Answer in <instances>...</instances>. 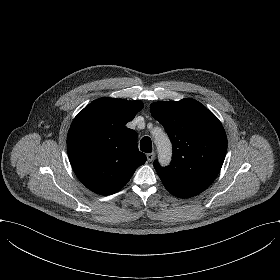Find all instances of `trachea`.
Segmentation results:
<instances>
[{
  "label": "trachea",
  "mask_w": 280,
  "mask_h": 280,
  "mask_svg": "<svg viewBox=\"0 0 280 280\" xmlns=\"http://www.w3.org/2000/svg\"><path fill=\"white\" fill-rule=\"evenodd\" d=\"M140 149L145 153L152 152V142L149 137H143L140 142Z\"/></svg>",
  "instance_id": "1"
}]
</instances>
